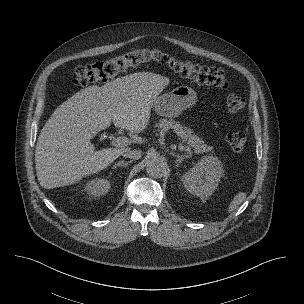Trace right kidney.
<instances>
[{
  "instance_id": "ca27d5eb",
  "label": "right kidney",
  "mask_w": 304,
  "mask_h": 304,
  "mask_svg": "<svg viewBox=\"0 0 304 304\" xmlns=\"http://www.w3.org/2000/svg\"><path fill=\"white\" fill-rule=\"evenodd\" d=\"M110 189V182L105 178H94L89 180L84 187V190L93 196H101L106 194Z\"/></svg>"
}]
</instances>
